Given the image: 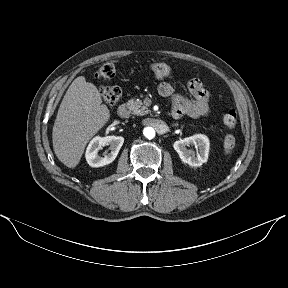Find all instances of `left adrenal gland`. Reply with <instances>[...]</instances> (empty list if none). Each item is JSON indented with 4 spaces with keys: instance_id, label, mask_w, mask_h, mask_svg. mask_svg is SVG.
I'll list each match as a JSON object with an SVG mask.
<instances>
[{
    "instance_id": "left-adrenal-gland-1",
    "label": "left adrenal gland",
    "mask_w": 288,
    "mask_h": 288,
    "mask_svg": "<svg viewBox=\"0 0 288 288\" xmlns=\"http://www.w3.org/2000/svg\"><path fill=\"white\" fill-rule=\"evenodd\" d=\"M177 125H178V123L173 124V126H177Z\"/></svg>"
}]
</instances>
